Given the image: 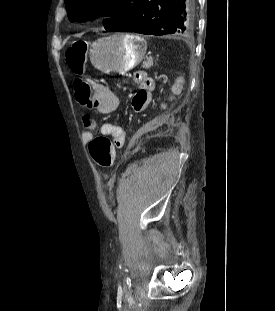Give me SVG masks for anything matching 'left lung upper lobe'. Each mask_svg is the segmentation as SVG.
Returning a JSON list of instances; mask_svg holds the SVG:
<instances>
[{"label":"left lung upper lobe","mask_w":275,"mask_h":311,"mask_svg":"<svg viewBox=\"0 0 275 311\" xmlns=\"http://www.w3.org/2000/svg\"><path fill=\"white\" fill-rule=\"evenodd\" d=\"M142 0H65L71 22L111 16L105 21L107 31H117L135 17Z\"/></svg>","instance_id":"5c2ea615"}]
</instances>
